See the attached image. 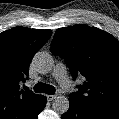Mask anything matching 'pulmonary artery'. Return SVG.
Instances as JSON below:
<instances>
[{"instance_id":"1","label":"pulmonary artery","mask_w":119,"mask_h":119,"mask_svg":"<svg viewBox=\"0 0 119 119\" xmlns=\"http://www.w3.org/2000/svg\"><path fill=\"white\" fill-rule=\"evenodd\" d=\"M53 76L58 80L62 88L68 89L70 87V81L67 77L66 68L63 64L59 63L53 70Z\"/></svg>"}]
</instances>
